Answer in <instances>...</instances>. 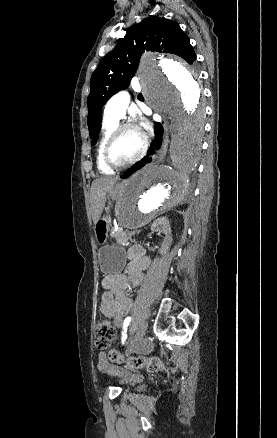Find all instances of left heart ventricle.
Masks as SVG:
<instances>
[{"label":"left heart ventricle","instance_id":"left-heart-ventricle-1","mask_svg":"<svg viewBox=\"0 0 277 438\" xmlns=\"http://www.w3.org/2000/svg\"><path fill=\"white\" fill-rule=\"evenodd\" d=\"M141 146L140 135L135 130L127 129L115 141L111 149V158L118 163L129 161L139 153Z\"/></svg>","mask_w":277,"mask_h":438}]
</instances>
